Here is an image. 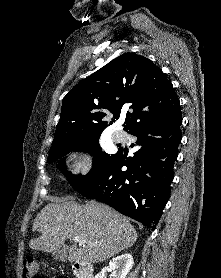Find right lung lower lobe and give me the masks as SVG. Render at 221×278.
<instances>
[{"instance_id":"right-lung-lower-lobe-1","label":"right lung lower lobe","mask_w":221,"mask_h":278,"mask_svg":"<svg viewBox=\"0 0 221 278\" xmlns=\"http://www.w3.org/2000/svg\"><path fill=\"white\" fill-rule=\"evenodd\" d=\"M182 114L150 121L130 130L138 150L125 159L116 153L111 163L89 184L77 191L108 204L152 230L170 197L173 164L182 138ZM127 170L122 171L121 167Z\"/></svg>"}]
</instances>
